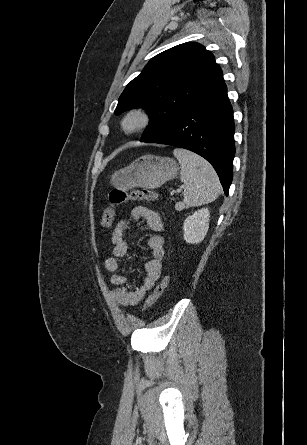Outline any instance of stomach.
<instances>
[{
	"mask_svg": "<svg viewBox=\"0 0 307 445\" xmlns=\"http://www.w3.org/2000/svg\"><path fill=\"white\" fill-rule=\"evenodd\" d=\"M180 166L174 158L168 156H155V154H143L125 168H119L111 174L110 182L115 188L129 190L134 186L140 188H158L166 180L175 178Z\"/></svg>",
	"mask_w": 307,
	"mask_h": 445,
	"instance_id": "1",
	"label": "stomach"
}]
</instances>
